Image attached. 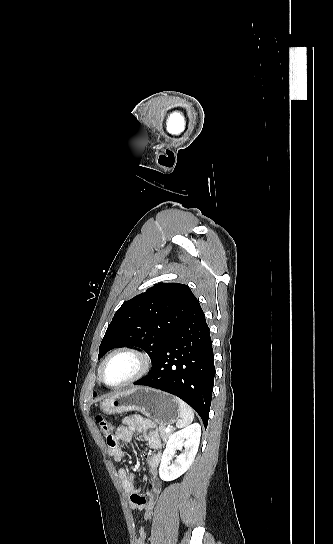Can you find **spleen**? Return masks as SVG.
<instances>
[{"label": "spleen", "instance_id": "1", "mask_svg": "<svg viewBox=\"0 0 333 544\" xmlns=\"http://www.w3.org/2000/svg\"><path fill=\"white\" fill-rule=\"evenodd\" d=\"M176 401L180 408V419L176 423L177 428H183L189 425L194 420V413L192 408L186 404L183 400L176 397Z\"/></svg>", "mask_w": 333, "mask_h": 544}]
</instances>
